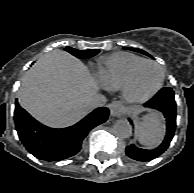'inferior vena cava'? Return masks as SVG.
<instances>
[{"mask_svg": "<svg viewBox=\"0 0 194 193\" xmlns=\"http://www.w3.org/2000/svg\"><path fill=\"white\" fill-rule=\"evenodd\" d=\"M106 97L102 94L94 95L89 101L87 102V106L92 110L98 107H102L106 103Z\"/></svg>", "mask_w": 194, "mask_h": 193, "instance_id": "obj_1", "label": "inferior vena cava"}]
</instances>
